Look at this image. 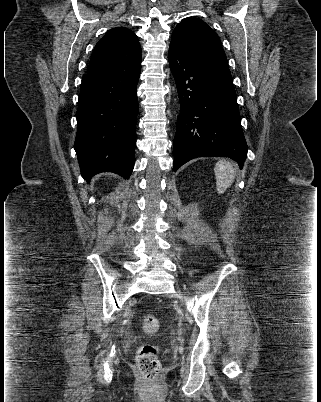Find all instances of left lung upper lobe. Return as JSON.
Instances as JSON below:
<instances>
[{
  "label": "left lung upper lobe",
  "instance_id": "left-lung-upper-lobe-1",
  "mask_svg": "<svg viewBox=\"0 0 321 402\" xmlns=\"http://www.w3.org/2000/svg\"><path fill=\"white\" fill-rule=\"evenodd\" d=\"M170 46L191 58L228 67L220 38L201 19L186 18L179 23L172 33Z\"/></svg>",
  "mask_w": 321,
  "mask_h": 402
}]
</instances>
